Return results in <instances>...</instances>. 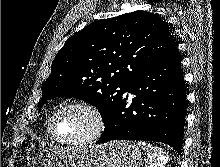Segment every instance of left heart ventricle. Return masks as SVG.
I'll use <instances>...</instances> for the list:
<instances>
[{
  "label": "left heart ventricle",
  "instance_id": "b2bd125f",
  "mask_svg": "<svg viewBox=\"0 0 220 167\" xmlns=\"http://www.w3.org/2000/svg\"><path fill=\"white\" fill-rule=\"evenodd\" d=\"M93 126L87 112L78 108L63 111L55 121V134L63 140H72L87 135Z\"/></svg>",
  "mask_w": 220,
  "mask_h": 167
}]
</instances>
